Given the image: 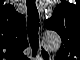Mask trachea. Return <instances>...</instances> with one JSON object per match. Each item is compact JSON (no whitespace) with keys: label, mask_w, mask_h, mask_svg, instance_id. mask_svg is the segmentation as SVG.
<instances>
[{"label":"trachea","mask_w":80,"mask_h":60,"mask_svg":"<svg viewBox=\"0 0 80 60\" xmlns=\"http://www.w3.org/2000/svg\"><path fill=\"white\" fill-rule=\"evenodd\" d=\"M27 14H28V36L33 50V56H36L39 49V13L35 4V0H27Z\"/></svg>","instance_id":"obj_1"}]
</instances>
